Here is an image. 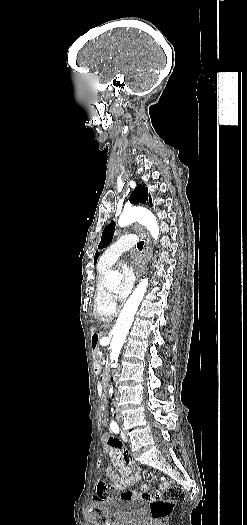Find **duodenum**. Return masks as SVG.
Wrapping results in <instances>:
<instances>
[{
	"label": "duodenum",
	"mask_w": 247,
	"mask_h": 525,
	"mask_svg": "<svg viewBox=\"0 0 247 525\" xmlns=\"http://www.w3.org/2000/svg\"><path fill=\"white\" fill-rule=\"evenodd\" d=\"M93 369H94L95 374H100V372H101V364L98 361H95L94 365H93ZM97 393H98L100 398H104V391H103V387L101 385L97 386Z\"/></svg>",
	"instance_id": "duodenum-1"
}]
</instances>
